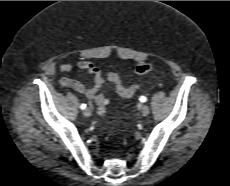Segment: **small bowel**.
Wrapping results in <instances>:
<instances>
[{
  "instance_id": "1",
  "label": "small bowel",
  "mask_w": 230,
  "mask_h": 186,
  "mask_svg": "<svg viewBox=\"0 0 230 186\" xmlns=\"http://www.w3.org/2000/svg\"><path fill=\"white\" fill-rule=\"evenodd\" d=\"M76 66L79 70L87 72L89 75L92 76L93 85L86 86L82 82L69 77V75L73 71V67L70 64H63L59 68L60 72L66 75L60 79L59 81L60 85L64 87L72 88L76 92L84 95L89 100H93L95 102H97L99 98H105L104 95L102 94V88L106 85V78L103 76L100 69L97 68L93 63H91L88 60H80ZM113 84L115 85L117 93L121 97L129 98L133 95V94L127 95L123 93V90L127 89L128 87H125L121 83L120 79L118 80L117 83H113Z\"/></svg>"
}]
</instances>
